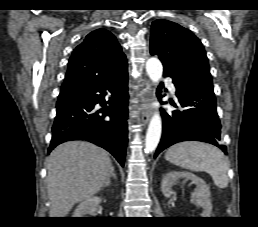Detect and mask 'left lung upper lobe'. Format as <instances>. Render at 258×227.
<instances>
[{"label": "left lung upper lobe", "instance_id": "5c2ea615", "mask_svg": "<svg viewBox=\"0 0 258 227\" xmlns=\"http://www.w3.org/2000/svg\"><path fill=\"white\" fill-rule=\"evenodd\" d=\"M151 55H158L164 75L213 87L206 52L188 29L168 20L152 23Z\"/></svg>", "mask_w": 258, "mask_h": 227}]
</instances>
